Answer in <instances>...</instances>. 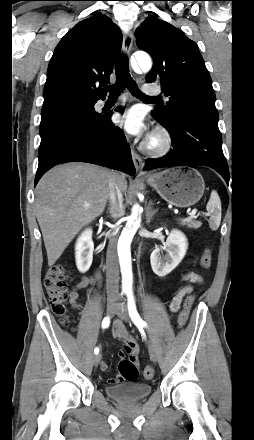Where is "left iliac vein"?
I'll list each match as a JSON object with an SVG mask.
<instances>
[{"label":"left iliac vein","mask_w":254,"mask_h":440,"mask_svg":"<svg viewBox=\"0 0 254 440\" xmlns=\"http://www.w3.org/2000/svg\"><path fill=\"white\" fill-rule=\"evenodd\" d=\"M116 313H117V315H118V317L120 319H122L125 322H129V320H130L129 315H128L126 309L122 305H120L116 309ZM148 349H149V354H150L151 359L154 362L157 361V359H158V351H157L156 346L154 344L150 343L148 345Z\"/></svg>","instance_id":"obj_1"}]
</instances>
